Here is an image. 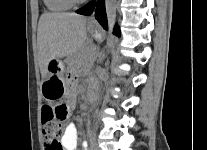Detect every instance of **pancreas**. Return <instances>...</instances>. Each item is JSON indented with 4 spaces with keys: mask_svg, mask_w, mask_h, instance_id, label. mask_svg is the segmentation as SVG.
Wrapping results in <instances>:
<instances>
[{
    "mask_svg": "<svg viewBox=\"0 0 207 150\" xmlns=\"http://www.w3.org/2000/svg\"><path fill=\"white\" fill-rule=\"evenodd\" d=\"M94 56L93 53L84 50L77 58H76V63L79 67L83 68L91 64Z\"/></svg>",
    "mask_w": 207,
    "mask_h": 150,
    "instance_id": "1",
    "label": "pancreas"
}]
</instances>
